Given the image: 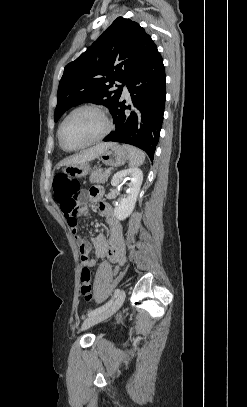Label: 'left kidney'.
Returning a JSON list of instances; mask_svg holds the SVG:
<instances>
[{"label": "left kidney", "instance_id": "left-kidney-1", "mask_svg": "<svg viewBox=\"0 0 247 407\" xmlns=\"http://www.w3.org/2000/svg\"><path fill=\"white\" fill-rule=\"evenodd\" d=\"M131 182L128 184L126 196L120 198L119 205L114 208L115 217L122 221L132 213L143 181V173L139 168H130L114 174L111 185L116 187L124 179Z\"/></svg>", "mask_w": 247, "mask_h": 407}]
</instances>
